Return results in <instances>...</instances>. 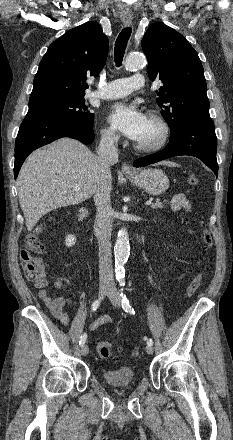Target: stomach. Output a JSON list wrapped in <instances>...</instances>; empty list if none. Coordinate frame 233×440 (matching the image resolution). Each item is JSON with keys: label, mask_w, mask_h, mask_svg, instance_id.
<instances>
[{"label": "stomach", "mask_w": 233, "mask_h": 440, "mask_svg": "<svg viewBox=\"0 0 233 440\" xmlns=\"http://www.w3.org/2000/svg\"><path fill=\"white\" fill-rule=\"evenodd\" d=\"M126 177L150 195H160L169 187V179L161 169H142L136 175L127 174Z\"/></svg>", "instance_id": "1"}]
</instances>
